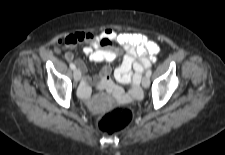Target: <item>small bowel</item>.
Masks as SVG:
<instances>
[{
  "label": "small bowel",
  "instance_id": "small-bowel-1",
  "mask_svg": "<svg viewBox=\"0 0 225 155\" xmlns=\"http://www.w3.org/2000/svg\"><path fill=\"white\" fill-rule=\"evenodd\" d=\"M78 44H84V53L93 62H112L122 56L120 66L115 70L114 77L120 84L130 85L128 92H125L119 85L115 84L111 77V69L104 66L99 74L92 79L88 75L83 77L79 87V95L85 100H90L91 84L96 83L99 91L109 93L112 99L118 103H129L141 98L139 80L143 71L150 67L159 52L158 45L149 40L146 35L140 33H117L112 29H105L95 35L90 32H75L61 38L55 51H65V58L68 61L74 59L73 53L69 50ZM117 44L118 47L114 46ZM76 64L82 72L87 67L82 60H76ZM111 101L106 99L103 104Z\"/></svg>",
  "mask_w": 225,
  "mask_h": 155
}]
</instances>
